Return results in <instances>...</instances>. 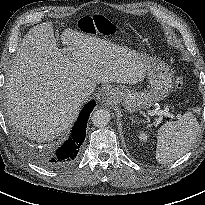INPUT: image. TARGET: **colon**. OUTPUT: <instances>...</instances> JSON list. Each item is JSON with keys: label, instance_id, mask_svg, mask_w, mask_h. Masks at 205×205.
<instances>
[{"label": "colon", "instance_id": "colon-1", "mask_svg": "<svg viewBox=\"0 0 205 205\" xmlns=\"http://www.w3.org/2000/svg\"><path fill=\"white\" fill-rule=\"evenodd\" d=\"M147 23L145 22L143 24V27H146ZM109 27L108 21L98 15H94L92 17H89V28L94 32H99L101 34L106 33V29ZM183 86V80L182 78H177L175 80V87L176 89H181Z\"/></svg>", "mask_w": 205, "mask_h": 205}]
</instances>
